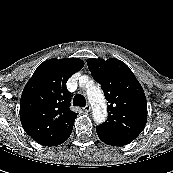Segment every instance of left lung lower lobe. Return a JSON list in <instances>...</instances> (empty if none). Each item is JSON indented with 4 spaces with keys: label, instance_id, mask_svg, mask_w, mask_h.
Masks as SVG:
<instances>
[{
    "label": "left lung lower lobe",
    "instance_id": "obj_1",
    "mask_svg": "<svg viewBox=\"0 0 173 173\" xmlns=\"http://www.w3.org/2000/svg\"><path fill=\"white\" fill-rule=\"evenodd\" d=\"M96 132L98 134V137L100 138L101 141L108 145H113V146H124L132 142L133 140L120 137L112 132H109L101 127H96Z\"/></svg>",
    "mask_w": 173,
    "mask_h": 173
}]
</instances>
